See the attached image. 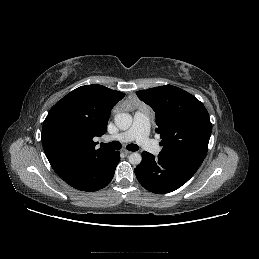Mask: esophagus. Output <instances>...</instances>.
Here are the masks:
<instances>
[{"mask_svg": "<svg viewBox=\"0 0 259 259\" xmlns=\"http://www.w3.org/2000/svg\"><path fill=\"white\" fill-rule=\"evenodd\" d=\"M121 152H122L123 154H125V155H130V154L132 153L131 151L126 150V149H123Z\"/></svg>", "mask_w": 259, "mask_h": 259, "instance_id": "obj_1", "label": "esophagus"}]
</instances>
